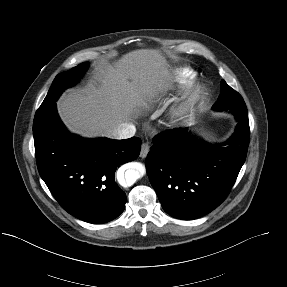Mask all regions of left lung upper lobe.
Instances as JSON below:
<instances>
[{
  "mask_svg": "<svg viewBox=\"0 0 287 287\" xmlns=\"http://www.w3.org/2000/svg\"><path fill=\"white\" fill-rule=\"evenodd\" d=\"M212 108L214 110H230L236 114L247 111L241 95L233 90L224 80L221 81V94Z\"/></svg>",
  "mask_w": 287,
  "mask_h": 287,
  "instance_id": "5c2ea615",
  "label": "left lung upper lobe"
}]
</instances>
